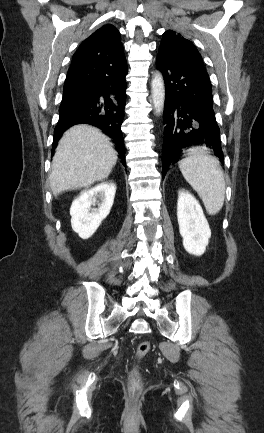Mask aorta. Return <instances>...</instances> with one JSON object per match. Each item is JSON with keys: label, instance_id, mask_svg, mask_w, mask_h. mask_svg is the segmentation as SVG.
<instances>
[{"label": "aorta", "instance_id": "1", "mask_svg": "<svg viewBox=\"0 0 264 433\" xmlns=\"http://www.w3.org/2000/svg\"><path fill=\"white\" fill-rule=\"evenodd\" d=\"M151 91L155 114L160 115L163 112L165 103V86L163 76L160 72H156L153 75Z\"/></svg>", "mask_w": 264, "mask_h": 433}]
</instances>
